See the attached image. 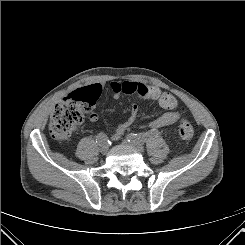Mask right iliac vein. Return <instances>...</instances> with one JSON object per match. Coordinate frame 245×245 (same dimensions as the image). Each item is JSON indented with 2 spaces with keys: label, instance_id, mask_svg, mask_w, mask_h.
I'll list each match as a JSON object with an SVG mask.
<instances>
[{
  "label": "right iliac vein",
  "instance_id": "63e3f726",
  "mask_svg": "<svg viewBox=\"0 0 245 245\" xmlns=\"http://www.w3.org/2000/svg\"><path fill=\"white\" fill-rule=\"evenodd\" d=\"M100 151H101V153H102L103 155L107 154V152H108V146L103 145V146L101 147Z\"/></svg>",
  "mask_w": 245,
  "mask_h": 245
}]
</instances>
